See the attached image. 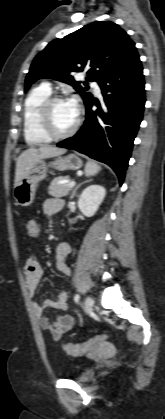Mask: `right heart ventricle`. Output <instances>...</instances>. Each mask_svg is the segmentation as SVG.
Masks as SVG:
<instances>
[{
  "label": "right heart ventricle",
  "mask_w": 165,
  "mask_h": 419,
  "mask_svg": "<svg viewBox=\"0 0 165 419\" xmlns=\"http://www.w3.org/2000/svg\"><path fill=\"white\" fill-rule=\"evenodd\" d=\"M50 96V87L47 85H40L33 88L24 101L23 134L29 145H41L48 143L51 140L43 133L38 121L39 106Z\"/></svg>",
  "instance_id": "obj_1"
}]
</instances>
